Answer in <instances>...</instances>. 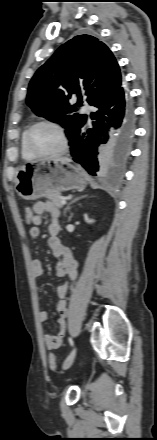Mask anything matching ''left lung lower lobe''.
<instances>
[{
    "label": "left lung lower lobe",
    "instance_id": "0a47b994",
    "mask_svg": "<svg viewBox=\"0 0 157 440\" xmlns=\"http://www.w3.org/2000/svg\"><path fill=\"white\" fill-rule=\"evenodd\" d=\"M94 106L97 111L90 115L92 127H86V118L71 137V155L90 175L118 172L134 132L131 100L120 86Z\"/></svg>",
    "mask_w": 157,
    "mask_h": 440
}]
</instances>
